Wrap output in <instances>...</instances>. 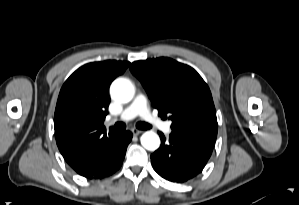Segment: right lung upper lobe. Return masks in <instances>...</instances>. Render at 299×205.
<instances>
[{"instance_id": "obj_1", "label": "right lung upper lobe", "mask_w": 299, "mask_h": 205, "mask_svg": "<svg viewBox=\"0 0 299 205\" xmlns=\"http://www.w3.org/2000/svg\"><path fill=\"white\" fill-rule=\"evenodd\" d=\"M125 61L86 64L63 84L54 116L57 146L66 162L75 170L93 151L117 134H106L103 121L110 103L111 82L129 66Z\"/></svg>"}]
</instances>
